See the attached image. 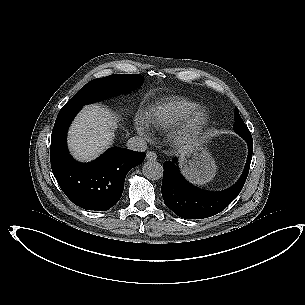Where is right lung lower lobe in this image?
<instances>
[{"label": "right lung lower lobe", "instance_id": "1", "mask_svg": "<svg viewBox=\"0 0 305 305\" xmlns=\"http://www.w3.org/2000/svg\"><path fill=\"white\" fill-rule=\"evenodd\" d=\"M77 111L63 107L57 116L51 139L52 171L75 205L86 210L106 211L118 202L126 174L144 160L145 153L114 147L93 162H75L66 149V131Z\"/></svg>", "mask_w": 305, "mask_h": 305}]
</instances>
